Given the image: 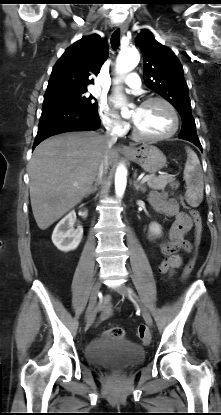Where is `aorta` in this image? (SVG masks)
<instances>
[{"label":"aorta","instance_id":"1","mask_svg":"<svg viewBox=\"0 0 221 415\" xmlns=\"http://www.w3.org/2000/svg\"><path fill=\"white\" fill-rule=\"evenodd\" d=\"M140 61L137 50L123 51L118 55L116 69L120 74H125L133 70ZM127 184V170L123 165H119L115 174V193L118 198L124 195Z\"/></svg>","mask_w":221,"mask_h":415}]
</instances>
